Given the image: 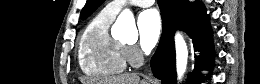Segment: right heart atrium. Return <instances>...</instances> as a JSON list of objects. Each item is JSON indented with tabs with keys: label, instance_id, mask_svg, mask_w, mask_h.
<instances>
[{
	"label": "right heart atrium",
	"instance_id": "1",
	"mask_svg": "<svg viewBox=\"0 0 260 84\" xmlns=\"http://www.w3.org/2000/svg\"><path fill=\"white\" fill-rule=\"evenodd\" d=\"M124 53H125L126 60L131 65H137L142 60V53L140 52L139 49H137L134 46H126V47H124Z\"/></svg>",
	"mask_w": 260,
	"mask_h": 84
}]
</instances>
